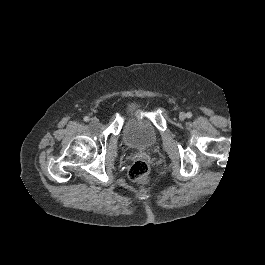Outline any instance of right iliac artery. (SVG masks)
I'll use <instances>...</instances> for the list:
<instances>
[{
    "label": "right iliac artery",
    "mask_w": 265,
    "mask_h": 265,
    "mask_svg": "<svg viewBox=\"0 0 265 265\" xmlns=\"http://www.w3.org/2000/svg\"><path fill=\"white\" fill-rule=\"evenodd\" d=\"M89 120H90V118H89L88 116H85V117H84V121H85V122H88Z\"/></svg>",
    "instance_id": "1"
}]
</instances>
